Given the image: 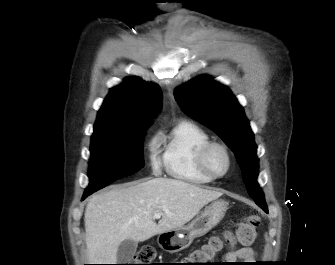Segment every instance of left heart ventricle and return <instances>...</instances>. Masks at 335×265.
I'll list each match as a JSON object with an SVG mask.
<instances>
[{
    "mask_svg": "<svg viewBox=\"0 0 335 265\" xmlns=\"http://www.w3.org/2000/svg\"><path fill=\"white\" fill-rule=\"evenodd\" d=\"M208 164L215 173H223L227 166L225 154L220 149L212 150L208 157Z\"/></svg>",
    "mask_w": 335,
    "mask_h": 265,
    "instance_id": "b2bd125f",
    "label": "left heart ventricle"
}]
</instances>
